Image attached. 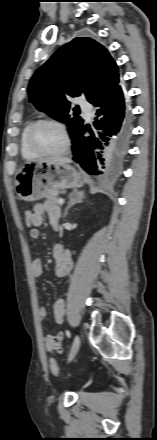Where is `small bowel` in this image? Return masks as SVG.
Returning <instances> with one entry per match:
<instances>
[{
    "mask_svg": "<svg viewBox=\"0 0 157 440\" xmlns=\"http://www.w3.org/2000/svg\"><path fill=\"white\" fill-rule=\"evenodd\" d=\"M34 226L30 229L29 235L33 239H37L40 235L38 229L43 223L44 214H47L51 229L57 231L59 228L60 208L53 201H46L43 203H37L33 207ZM53 257L55 259V272L58 277L67 276L72 269V259L70 252L60 244H54ZM31 271L34 278H38L42 275L43 265L40 259H34L31 264ZM65 302L63 299H58L53 304V316L58 325L64 324L65 317ZM40 320H44L47 316L45 308L41 307L38 311ZM64 339V333L59 332L56 335H47L45 337V347L47 350L61 349L62 341Z\"/></svg>",
    "mask_w": 157,
    "mask_h": 440,
    "instance_id": "small-bowel-1",
    "label": "small bowel"
}]
</instances>
